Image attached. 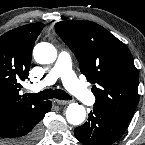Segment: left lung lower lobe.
<instances>
[{
  "mask_svg": "<svg viewBox=\"0 0 145 145\" xmlns=\"http://www.w3.org/2000/svg\"><path fill=\"white\" fill-rule=\"evenodd\" d=\"M127 123L93 108L88 121L75 129L76 138L85 145H110L126 130Z\"/></svg>",
  "mask_w": 145,
  "mask_h": 145,
  "instance_id": "obj_1",
  "label": "left lung lower lobe"
}]
</instances>
